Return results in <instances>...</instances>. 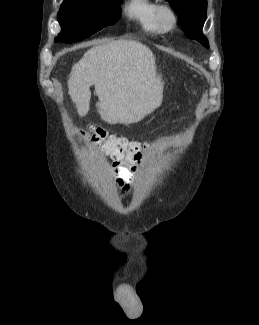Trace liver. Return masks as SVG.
Listing matches in <instances>:
<instances>
[{
    "instance_id": "6515ba94",
    "label": "liver",
    "mask_w": 259,
    "mask_h": 325,
    "mask_svg": "<svg viewBox=\"0 0 259 325\" xmlns=\"http://www.w3.org/2000/svg\"><path fill=\"white\" fill-rule=\"evenodd\" d=\"M91 85L101 119L109 124L137 123L162 103L163 84L156 76L155 56L137 41L94 46L73 65L68 89L81 117L89 111Z\"/></svg>"
}]
</instances>
